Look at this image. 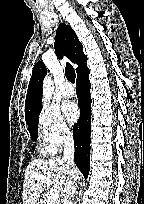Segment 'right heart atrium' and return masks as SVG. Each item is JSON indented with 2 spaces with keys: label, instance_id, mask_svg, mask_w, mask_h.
Returning <instances> with one entry per match:
<instances>
[{
  "label": "right heart atrium",
  "instance_id": "d8ad5b80",
  "mask_svg": "<svg viewBox=\"0 0 144 204\" xmlns=\"http://www.w3.org/2000/svg\"><path fill=\"white\" fill-rule=\"evenodd\" d=\"M37 124L41 147L49 153L59 151L73 137L70 126L54 107L43 106Z\"/></svg>",
  "mask_w": 144,
  "mask_h": 204
}]
</instances>
